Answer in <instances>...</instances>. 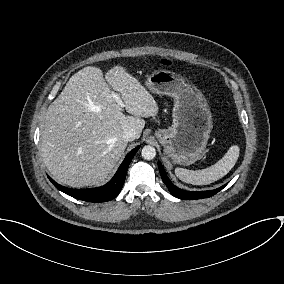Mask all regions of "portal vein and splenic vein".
<instances>
[{
    "mask_svg": "<svg viewBox=\"0 0 284 284\" xmlns=\"http://www.w3.org/2000/svg\"><path fill=\"white\" fill-rule=\"evenodd\" d=\"M111 97L116 101L120 107H124L123 101L118 93L112 92Z\"/></svg>",
    "mask_w": 284,
    "mask_h": 284,
    "instance_id": "18ae733b",
    "label": "portal vein and splenic vein"
}]
</instances>
